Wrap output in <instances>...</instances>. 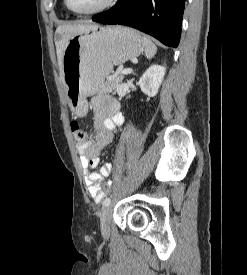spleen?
<instances>
[{"instance_id": "obj_1", "label": "spleen", "mask_w": 247, "mask_h": 275, "mask_svg": "<svg viewBox=\"0 0 247 275\" xmlns=\"http://www.w3.org/2000/svg\"><path fill=\"white\" fill-rule=\"evenodd\" d=\"M142 45L147 59H152L157 52L156 45L147 37H142Z\"/></svg>"}]
</instances>
